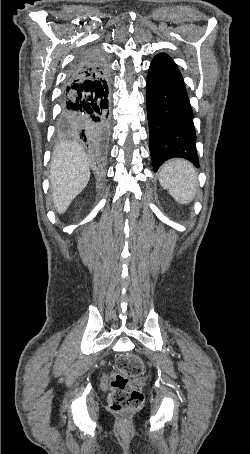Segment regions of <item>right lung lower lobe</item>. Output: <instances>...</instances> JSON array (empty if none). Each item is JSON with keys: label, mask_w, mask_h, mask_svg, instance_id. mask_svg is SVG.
Masks as SVG:
<instances>
[{"label": "right lung lower lobe", "mask_w": 250, "mask_h": 454, "mask_svg": "<svg viewBox=\"0 0 250 454\" xmlns=\"http://www.w3.org/2000/svg\"><path fill=\"white\" fill-rule=\"evenodd\" d=\"M109 65L99 47L80 52L68 71L61 96L60 124L103 149L109 136Z\"/></svg>", "instance_id": "right-lung-lower-lobe-1"}]
</instances>
